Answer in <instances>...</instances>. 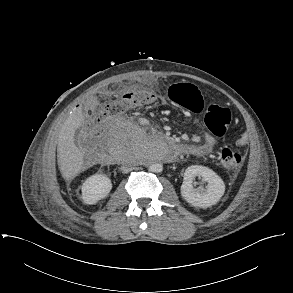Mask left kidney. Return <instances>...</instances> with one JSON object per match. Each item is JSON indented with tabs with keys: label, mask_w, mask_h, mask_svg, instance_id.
Listing matches in <instances>:
<instances>
[{
	"label": "left kidney",
	"mask_w": 293,
	"mask_h": 293,
	"mask_svg": "<svg viewBox=\"0 0 293 293\" xmlns=\"http://www.w3.org/2000/svg\"><path fill=\"white\" fill-rule=\"evenodd\" d=\"M196 176L208 183L207 190L200 192L193 188ZM224 192L225 184L213 170L201 165H192L185 170L181 195L189 204L201 208L210 207L220 200Z\"/></svg>",
	"instance_id": "obj_1"
}]
</instances>
